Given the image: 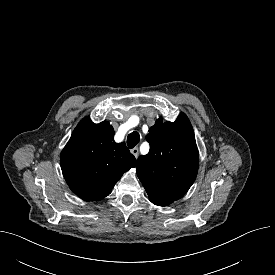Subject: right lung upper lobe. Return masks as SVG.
<instances>
[{
	"label": "right lung upper lobe",
	"instance_id": "right-lung-upper-lobe-1",
	"mask_svg": "<svg viewBox=\"0 0 275 275\" xmlns=\"http://www.w3.org/2000/svg\"><path fill=\"white\" fill-rule=\"evenodd\" d=\"M107 121L85 117L61 152V169L70 189L85 201L108 196L124 172L136 166L125 143H115Z\"/></svg>",
	"mask_w": 275,
	"mask_h": 275
}]
</instances>
